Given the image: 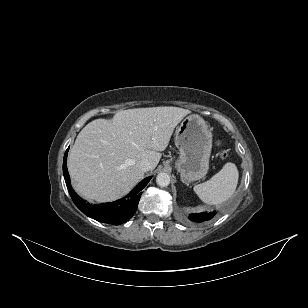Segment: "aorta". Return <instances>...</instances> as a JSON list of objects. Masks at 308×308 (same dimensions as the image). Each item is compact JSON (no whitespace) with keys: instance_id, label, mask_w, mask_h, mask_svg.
I'll return each mask as SVG.
<instances>
[{"instance_id":"762f6f07","label":"aorta","mask_w":308,"mask_h":308,"mask_svg":"<svg viewBox=\"0 0 308 308\" xmlns=\"http://www.w3.org/2000/svg\"><path fill=\"white\" fill-rule=\"evenodd\" d=\"M156 183L161 187H167L170 184V176L165 172H161L156 177Z\"/></svg>"}]
</instances>
